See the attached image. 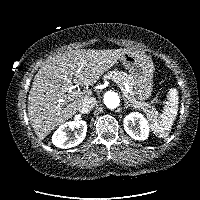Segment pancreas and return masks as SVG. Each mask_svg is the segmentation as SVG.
<instances>
[{
    "instance_id": "cf45deb5",
    "label": "pancreas",
    "mask_w": 200,
    "mask_h": 200,
    "mask_svg": "<svg viewBox=\"0 0 200 200\" xmlns=\"http://www.w3.org/2000/svg\"><path fill=\"white\" fill-rule=\"evenodd\" d=\"M104 79L109 80H116L120 83H126L129 86V93L130 98L132 99V104L134 107L142 109L149 117L156 118L157 117V111L154 107H150L149 104L144 102H138L134 98V91H133V79L130 75L123 71H110L105 76Z\"/></svg>"
}]
</instances>
